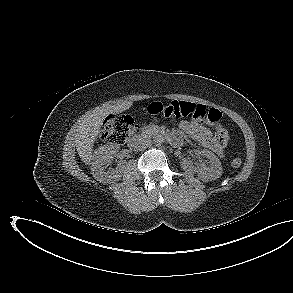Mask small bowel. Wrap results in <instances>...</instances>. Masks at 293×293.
Listing matches in <instances>:
<instances>
[{
    "instance_id": "obj_1",
    "label": "small bowel",
    "mask_w": 293,
    "mask_h": 293,
    "mask_svg": "<svg viewBox=\"0 0 293 293\" xmlns=\"http://www.w3.org/2000/svg\"><path fill=\"white\" fill-rule=\"evenodd\" d=\"M179 126L184 133L190 135L203 147L214 151L220 156L224 155V148L218 144L216 137L205 125L196 121L183 120Z\"/></svg>"
}]
</instances>
